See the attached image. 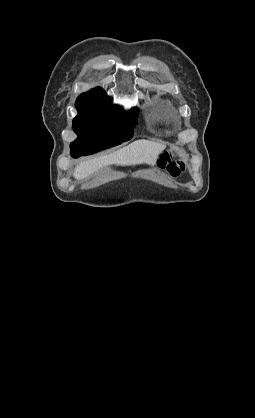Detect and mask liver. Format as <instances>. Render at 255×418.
<instances>
[{"label": "liver", "instance_id": "obj_1", "mask_svg": "<svg viewBox=\"0 0 255 418\" xmlns=\"http://www.w3.org/2000/svg\"><path fill=\"white\" fill-rule=\"evenodd\" d=\"M164 149V144L149 140H137L109 155L81 162L74 169L73 176L82 180L90 177L97 170L112 164L120 166L143 163L155 165Z\"/></svg>", "mask_w": 255, "mask_h": 418}]
</instances>
